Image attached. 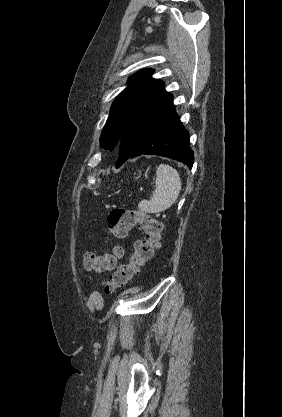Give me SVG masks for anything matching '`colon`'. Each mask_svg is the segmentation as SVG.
Here are the masks:
<instances>
[{
    "label": "colon",
    "instance_id": "5ec220e1",
    "mask_svg": "<svg viewBox=\"0 0 282 417\" xmlns=\"http://www.w3.org/2000/svg\"><path fill=\"white\" fill-rule=\"evenodd\" d=\"M133 227L141 229L143 236L135 241L134 252L128 262L120 265L110 278L103 281L107 294L114 293L132 281L134 273L153 258L154 250L162 238V223L148 212L124 208H114L110 212L108 229L115 239L127 238ZM120 254L121 250L117 246L103 255L86 252L83 263L87 269L102 273L113 267Z\"/></svg>",
    "mask_w": 282,
    "mask_h": 417
}]
</instances>
